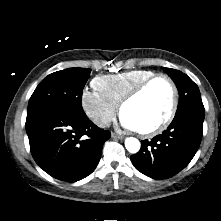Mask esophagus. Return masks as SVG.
<instances>
[{
  "label": "esophagus",
  "mask_w": 221,
  "mask_h": 221,
  "mask_svg": "<svg viewBox=\"0 0 221 221\" xmlns=\"http://www.w3.org/2000/svg\"><path fill=\"white\" fill-rule=\"evenodd\" d=\"M112 137L116 138V139H123L124 138V136L116 134V133H112Z\"/></svg>",
  "instance_id": "34e87169"
}]
</instances>
